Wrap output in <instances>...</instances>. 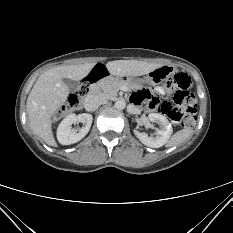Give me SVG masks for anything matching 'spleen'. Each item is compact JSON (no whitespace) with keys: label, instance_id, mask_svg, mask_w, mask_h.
Returning a JSON list of instances; mask_svg holds the SVG:
<instances>
[{"label":"spleen","instance_id":"1","mask_svg":"<svg viewBox=\"0 0 233 233\" xmlns=\"http://www.w3.org/2000/svg\"><path fill=\"white\" fill-rule=\"evenodd\" d=\"M193 134V131L191 129H182L180 131H177L169 140L168 146H178L185 141L189 140Z\"/></svg>","mask_w":233,"mask_h":233}]
</instances>
